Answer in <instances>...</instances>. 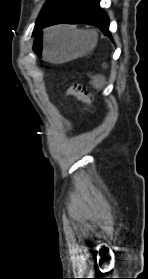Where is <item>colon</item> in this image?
Here are the masks:
<instances>
[{"instance_id": "5ec220e1", "label": "colon", "mask_w": 148, "mask_h": 279, "mask_svg": "<svg viewBox=\"0 0 148 279\" xmlns=\"http://www.w3.org/2000/svg\"><path fill=\"white\" fill-rule=\"evenodd\" d=\"M67 95L75 96L80 101L84 102L91 109L94 107V97L93 95L81 84L74 83L67 87Z\"/></svg>"}]
</instances>
